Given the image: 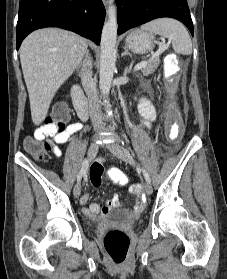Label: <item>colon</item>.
<instances>
[{
    "instance_id": "5ec220e1",
    "label": "colon",
    "mask_w": 227,
    "mask_h": 279,
    "mask_svg": "<svg viewBox=\"0 0 227 279\" xmlns=\"http://www.w3.org/2000/svg\"><path fill=\"white\" fill-rule=\"evenodd\" d=\"M184 102V96H182ZM67 110L63 104H58L53 110V116L48 117L46 123L53 126L55 130L62 131L66 127ZM51 145L46 142H38L29 140L25 144V149L36 159L42 160L45 158L46 150H49ZM102 171V167L94 165L91 168V175L97 174ZM111 178L115 183L120 185H127V175L119 169H114L111 173ZM129 239L121 231L112 230L105 235L104 248L109 257L116 263L125 261L128 253Z\"/></svg>"
}]
</instances>
